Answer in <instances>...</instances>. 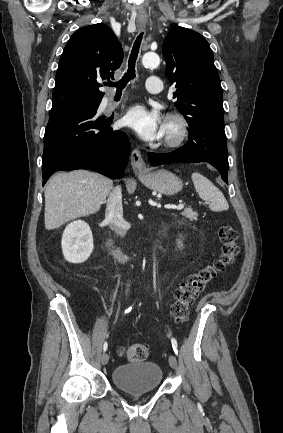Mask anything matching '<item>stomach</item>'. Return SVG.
I'll return each instance as SVG.
<instances>
[{
  "label": "stomach",
  "instance_id": "1",
  "mask_svg": "<svg viewBox=\"0 0 283 433\" xmlns=\"http://www.w3.org/2000/svg\"><path fill=\"white\" fill-rule=\"evenodd\" d=\"M143 184H146L151 190L162 192V194H176L183 186L182 180L168 172V170H154V172H137Z\"/></svg>",
  "mask_w": 283,
  "mask_h": 433
}]
</instances>
